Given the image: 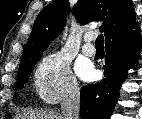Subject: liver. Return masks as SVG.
<instances>
[{
	"label": "liver",
	"mask_w": 142,
	"mask_h": 119,
	"mask_svg": "<svg viewBox=\"0 0 142 119\" xmlns=\"http://www.w3.org/2000/svg\"><path fill=\"white\" fill-rule=\"evenodd\" d=\"M23 119H64L63 115L52 111L44 110H30L24 112L21 116Z\"/></svg>",
	"instance_id": "liver-1"
}]
</instances>
